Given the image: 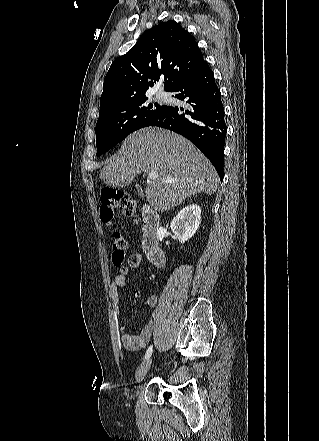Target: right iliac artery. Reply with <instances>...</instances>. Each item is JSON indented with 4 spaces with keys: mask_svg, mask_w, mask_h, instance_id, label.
<instances>
[{
    "mask_svg": "<svg viewBox=\"0 0 319 441\" xmlns=\"http://www.w3.org/2000/svg\"><path fill=\"white\" fill-rule=\"evenodd\" d=\"M152 352H153V347L150 346V347L147 349V351H146V354H145V360H147V359L150 358Z\"/></svg>",
    "mask_w": 319,
    "mask_h": 441,
    "instance_id": "1",
    "label": "right iliac artery"
}]
</instances>
